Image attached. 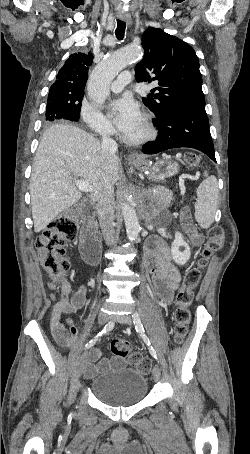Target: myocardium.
Segmentation results:
<instances>
[{
	"instance_id": "f54148a6",
	"label": "myocardium",
	"mask_w": 250,
	"mask_h": 454,
	"mask_svg": "<svg viewBox=\"0 0 250 454\" xmlns=\"http://www.w3.org/2000/svg\"><path fill=\"white\" fill-rule=\"evenodd\" d=\"M145 132L142 136L137 138H130L126 135H122V139L125 143L139 146L143 145L156 137V129L152 123V120L148 114H142L141 116Z\"/></svg>"
}]
</instances>
